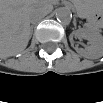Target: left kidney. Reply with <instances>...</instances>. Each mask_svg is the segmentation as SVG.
Returning a JSON list of instances; mask_svg holds the SVG:
<instances>
[{
	"label": "left kidney",
	"instance_id": "left-kidney-1",
	"mask_svg": "<svg viewBox=\"0 0 103 103\" xmlns=\"http://www.w3.org/2000/svg\"><path fill=\"white\" fill-rule=\"evenodd\" d=\"M74 36H77L79 38H83L89 41L90 43V47L86 48V49H82V48H77L75 47V50L77 52L82 53L86 58H91V59H95L98 58L100 56H102V40L100 37H97L91 33H87L84 31H74L71 33L70 35V42H72V39ZM73 45V43H72Z\"/></svg>",
	"mask_w": 103,
	"mask_h": 103
}]
</instances>
